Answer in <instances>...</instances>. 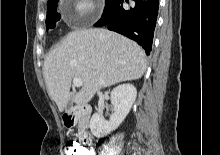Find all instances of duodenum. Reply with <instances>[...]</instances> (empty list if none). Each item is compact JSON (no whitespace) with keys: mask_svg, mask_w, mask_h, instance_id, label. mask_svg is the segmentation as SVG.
<instances>
[{"mask_svg":"<svg viewBox=\"0 0 220 155\" xmlns=\"http://www.w3.org/2000/svg\"><path fill=\"white\" fill-rule=\"evenodd\" d=\"M91 112V109L87 105H78L74 107L66 116H65V122L68 125H73V123L77 119H83L86 118ZM80 142L81 143H90L91 142V136L84 132L80 135Z\"/></svg>","mask_w":220,"mask_h":155,"instance_id":"obj_1","label":"duodenum"}]
</instances>
